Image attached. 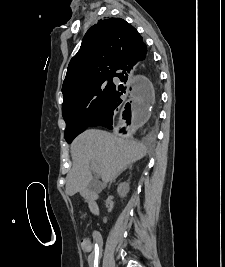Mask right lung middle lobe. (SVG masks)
Returning <instances> with one entry per match:
<instances>
[{
	"label": "right lung middle lobe",
	"mask_w": 225,
	"mask_h": 267,
	"mask_svg": "<svg viewBox=\"0 0 225 267\" xmlns=\"http://www.w3.org/2000/svg\"><path fill=\"white\" fill-rule=\"evenodd\" d=\"M113 76L91 81L63 96L62 115L68 143L85 131L106 107L116 88Z\"/></svg>",
	"instance_id": "right-lung-middle-lobe-1"
}]
</instances>
